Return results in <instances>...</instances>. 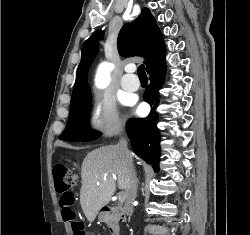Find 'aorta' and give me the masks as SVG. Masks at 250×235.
Wrapping results in <instances>:
<instances>
[{"instance_id": "aorta-1", "label": "aorta", "mask_w": 250, "mask_h": 235, "mask_svg": "<svg viewBox=\"0 0 250 235\" xmlns=\"http://www.w3.org/2000/svg\"><path fill=\"white\" fill-rule=\"evenodd\" d=\"M110 70H111V65L107 64V63H104L101 66V69H100V72H99V76H98V80L100 82L106 81L108 79V75H109Z\"/></svg>"}]
</instances>
